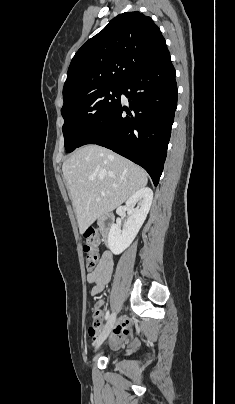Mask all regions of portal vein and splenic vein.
<instances>
[{
    "mask_svg": "<svg viewBox=\"0 0 235 404\" xmlns=\"http://www.w3.org/2000/svg\"><path fill=\"white\" fill-rule=\"evenodd\" d=\"M90 180H94V177H90Z\"/></svg>",
    "mask_w": 235,
    "mask_h": 404,
    "instance_id": "1",
    "label": "portal vein and splenic vein"
}]
</instances>
